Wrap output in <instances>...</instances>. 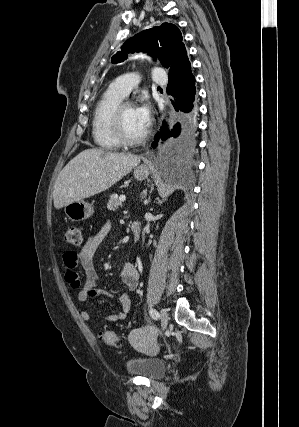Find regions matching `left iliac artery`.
I'll return each mask as SVG.
<instances>
[{
    "label": "left iliac artery",
    "instance_id": "obj_1",
    "mask_svg": "<svg viewBox=\"0 0 299 427\" xmlns=\"http://www.w3.org/2000/svg\"><path fill=\"white\" fill-rule=\"evenodd\" d=\"M149 313H150V315L152 316L153 319H155V320L158 319L159 313L155 309H150Z\"/></svg>",
    "mask_w": 299,
    "mask_h": 427
}]
</instances>
